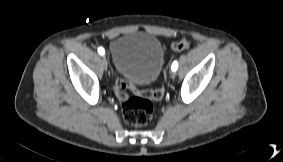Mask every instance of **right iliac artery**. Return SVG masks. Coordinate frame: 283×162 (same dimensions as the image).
Segmentation results:
<instances>
[{"instance_id":"82829eb1","label":"right iliac artery","mask_w":283,"mask_h":162,"mask_svg":"<svg viewBox=\"0 0 283 162\" xmlns=\"http://www.w3.org/2000/svg\"><path fill=\"white\" fill-rule=\"evenodd\" d=\"M98 53H99L100 55H104V54H105V51H104V49H103L102 47H99V48H98Z\"/></svg>"}]
</instances>
